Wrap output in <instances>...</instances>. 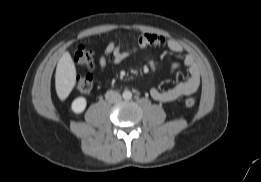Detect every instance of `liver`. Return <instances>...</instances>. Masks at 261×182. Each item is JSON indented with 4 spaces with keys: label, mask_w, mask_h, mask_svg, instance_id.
Returning a JSON list of instances; mask_svg holds the SVG:
<instances>
[{
    "label": "liver",
    "mask_w": 261,
    "mask_h": 182,
    "mask_svg": "<svg viewBox=\"0 0 261 182\" xmlns=\"http://www.w3.org/2000/svg\"><path fill=\"white\" fill-rule=\"evenodd\" d=\"M76 68L68 51L59 59L55 73V87L60 100H65L74 88Z\"/></svg>",
    "instance_id": "6515ba94"
}]
</instances>
